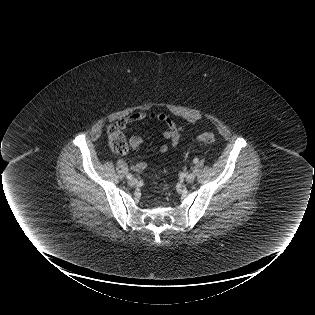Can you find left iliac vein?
<instances>
[{"label": "left iliac vein", "instance_id": "obj_1", "mask_svg": "<svg viewBox=\"0 0 315 315\" xmlns=\"http://www.w3.org/2000/svg\"><path fill=\"white\" fill-rule=\"evenodd\" d=\"M194 179H195V175H194L193 173H187V174L185 175V180H186L187 182H192Z\"/></svg>", "mask_w": 315, "mask_h": 315}]
</instances>
